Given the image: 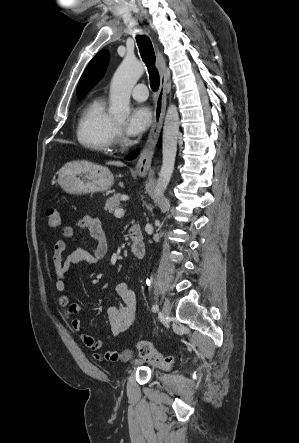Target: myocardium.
Returning a JSON list of instances; mask_svg holds the SVG:
<instances>
[{
  "label": "myocardium",
  "mask_w": 299,
  "mask_h": 443,
  "mask_svg": "<svg viewBox=\"0 0 299 443\" xmlns=\"http://www.w3.org/2000/svg\"><path fill=\"white\" fill-rule=\"evenodd\" d=\"M113 144L118 148L123 149L128 145V142L116 133L113 139Z\"/></svg>",
  "instance_id": "myocardium-1"
}]
</instances>
